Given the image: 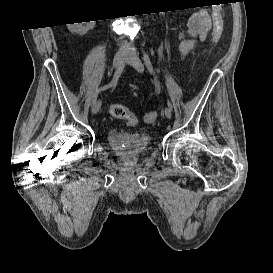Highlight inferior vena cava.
I'll return each instance as SVG.
<instances>
[{"label": "inferior vena cava", "instance_id": "602c4592", "mask_svg": "<svg viewBox=\"0 0 273 273\" xmlns=\"http://www.w3.org/2000/svg\"><path fill=\"white\" fill-rule=\"evenodd\" d=\"M128 44H127V42H124V46H127Z\"/></svg>", "mask_w": 273, "mask_h": 273}]
</instances>
